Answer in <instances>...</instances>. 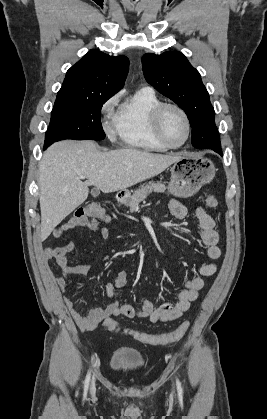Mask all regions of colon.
I'll return each instance as SVG.
<instances>
[{"label":"colon","mask_w":267,"mask_h":419,"mask_svg":"<svg viewBox=\"0 0 267 419\" xmlns=\"http://www.w3.org/2000/svg\"><path fill=\"white\" fill-rule=\"evenodd\" d=\"M207 207H215L217 205V199L214 196L207 197L206 201ZM76 218H89L100 221L107 220L108 216L103 207L98 204H88L84 207L79 208L75 213ZM103 326L109 331H117L120 329L119 324L113 319H107L104 321ZM189 328V322L185 321L180 324L176 329L167 333L160 334H148L135 329H123L124 332L130 334L135 339L139 340L142 343L147 344H166L171 342L179 341L187 332Z\"/></svg>","instance_id":"colon-1"}]
</instances>
